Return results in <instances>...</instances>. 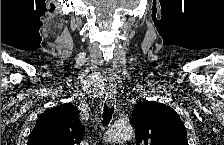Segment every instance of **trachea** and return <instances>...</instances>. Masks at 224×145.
I'll return each instance as SVG.
<instances>
[{"mask_svg":"<svg viewBox=\"0 0 224 145\" xmlns=\"http://www.w3.org/2000/svg\"><path fill=\"white\" fill-rule=\"evenodd\" d=\"M108 104L106 103L104 104V113H103V121H102L104 125L110 121L114 111V106L108 105Z\"/></svg>","mask_w":224,"mask_h":145,"instance_id":"obj_1","label":"trachea"}]
</instances>
